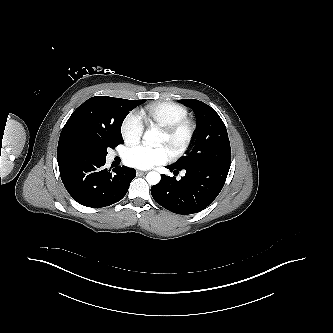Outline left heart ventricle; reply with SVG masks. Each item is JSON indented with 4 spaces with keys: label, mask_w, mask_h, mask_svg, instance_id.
I'll list each match as a JSON object with an SVG mask.
<instances>
[{
    "label": "left heart ventricle",
    "mask_w": 333,
    "mask_h": 333,
    "mask_svg": "<svg viewBox=\"0 0 333 333\" xmlns=\"http://www.w3.org/2000/svg\"><path fill=\"white\" fill-rule=\"evenodd\" d=\"M160 143L164 144V145H167L166 136L162 132H161V135H160Z\"/></svg>",
    "instance_id": "left-heart-ventricle-1"
}]
</instances>
